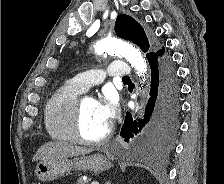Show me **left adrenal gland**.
Instances as JSON below:
<instances>
[{"mask_svg":"<svg viewBox=\"0 0 224 184\" xmlns=\"http://www.w3.org/2000/svg\"><path fill=\"white\" fill-rule=\"evenodd\" d=\"M105 184H110V182H106Z\"/></svg>","mask_w":224,"mask_h":184,"instance_id":"obj_1","label":"left adrenal gland"}]
</instances>
